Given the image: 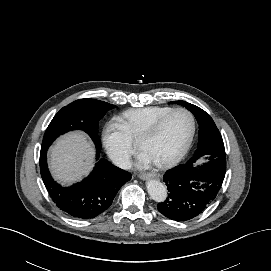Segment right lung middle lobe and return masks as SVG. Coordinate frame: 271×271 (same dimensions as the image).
<instances>
[{
	"label": "right lung middle lobe",
	"instance_id": "obj_1",
	"mask_svg": "<svg viewBox=\"0 0 271 271\" xmlns=\"http://www.w3.org/2000/svg\"><path fill=\"white\" fill-rule=\"evenodd\" d=\"M115 105L94 100L80 99L63 107L52 119L44 134L41 152H47L51 143L60 135L70 130H82L94 141L96 148L101 149L98 136L99 120Z\"/></svg>",
	"mask_w": 271,
	"mask_h": 271
}]
</instances>
